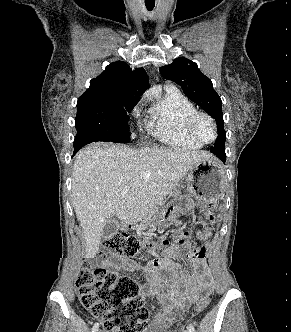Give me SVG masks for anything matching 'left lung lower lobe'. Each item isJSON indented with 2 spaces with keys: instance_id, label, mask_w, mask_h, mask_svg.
Masks as SVG:
<instances>
[{
  "instance_id": "1",
  "label": "left lung lower lobe",
  "mask_w": 291,
  "mask_h": 332,
  "mask_svg": "<svg viewBox=\"0 0 291 332\" xmlns=\"http://www.w3.org/2000/svg\"><path fill=\"white\" fill-rule=\"evenodd\" d=\"M210 152L217 155L225 163L226 159L225 148H218V149L211 148Z\"/></svg>"
}]
</instances>
